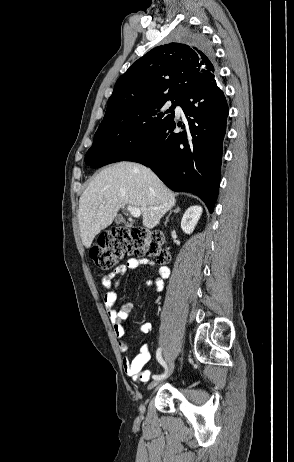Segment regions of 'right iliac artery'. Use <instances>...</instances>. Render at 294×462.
I'll list each match as a JSON object with an SVG mask.
<instances>
[{
  "instance_id": "right-iliac-artery-1",
  "label": "right iliac artery",
  "mask_w": 294,
  "mask_h": 462,
  "mask_svg": "<svg viewBox=\"0 0 294 462\" xmlns=\"http://www.w3.org/2000/svg\"><path fill=\"white\" fill-rule=\"evenodd\" d=\"M161 352H162V349H161V348H158V350H157V352H156V357H157V360L159 361V363L165 368V373L162 374V375H153L152 378H153L154 380H161V379L166 378V374H167V365H166L165 361H164L163 358H162Z\"/></svg>"
}]
</instances>
